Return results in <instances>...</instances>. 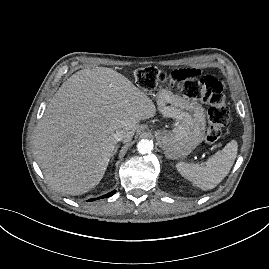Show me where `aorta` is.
Segmentation results:
<instances>
[{
  "mask_svg": "<svg viewBox=\"0 0 269 269\" xmlns=\"http://www.w3.org/2000/svg\"><path fill=\"white\" fill-rule=\"evenodd\" d=\"M153 142L148 139H142L141 141L138 142L137 144V150L140 154H150L151 151L153 150Z\"/></svg>",
  "mask_w": 269,
  "mask_h": 269,
  "instance_id": "obj_1",
  "label": "aorta"
}]
</instances>
